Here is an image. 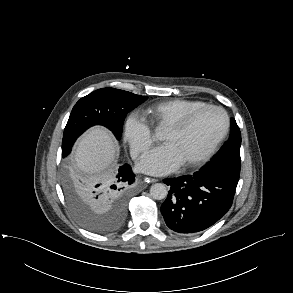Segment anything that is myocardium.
I'll return each mask as SVG.
<instances>
[{"instance_id":"myocardium-1","label":"myocardium","mask_w":293,"mask_h":293,"mask_svg":"<svg viewBox=\"0 0 293 293\" xmlns=\"http://www.w3.org/2000/svg\"><path fill=\"white\" fill-rule=\"evenodd\" d=\"M206 110H216V111L220 112L223 115L224 120H225L224 128H223L222 132L220 133V135L211 144V146L201 156L197 157L196 159H194L190 162L182 164V166L184 168L189 169V168L198 167V166L204 164L205 162H207L214 155V153L217 151V149L219 148L221 143L224 141V139L228 135V132L230 130V125H231L230 117H229L228 113L226 112V110L223 109L222 107L216 106V105H211V104H206L202 107H199V108L187 113L181 119L172 123L171 125H169L165 129V131H169V132H173V133H180V132L184 131L188 127V125L199 114H201L202 112H204Z\"/></svg>"}]
</instances>
